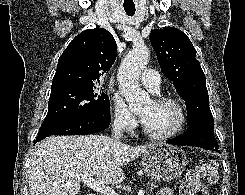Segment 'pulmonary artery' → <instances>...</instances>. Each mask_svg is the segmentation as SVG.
I'll use <instances>...</instances> for the list:
<instances>
[{"label": "pulmonary artery", "mask_w": 245, "mask_h": 195, "mask_svg": "<svg viewBox=\"0 0 245 195\" xmlns=\"http://www.w3.org/2000/svg\"><path fill=\"white\" fill-rule=\"evenodd\" d=\"M141 83L150 91L156 92L160 87V76L154 69L143 70L141 77Z\"/></svg>", "instance_id": "pulmonary-artery-1"}]
</instances>
